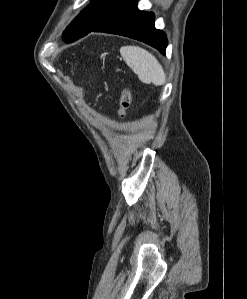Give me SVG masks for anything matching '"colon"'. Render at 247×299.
<instances>
[{
    "instance_id": "5ec220e1",
    "label": "colon",
    "mask_w": 247,
    "mask_h": 299,
    "mask_svg": "<svg viewBox=\"0 0 247 299\" xmlns=\"http://www.w3.org/2000/svg\"><path fill=\"white\" fill-rule=\"evenodd\" d=\"M131 104V92L129 89H124L118 99L117 114L119 118H123Z\"/></svg>"
}]
</instances>
